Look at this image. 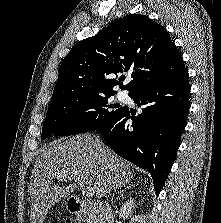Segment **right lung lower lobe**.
<instances>
[{"label": "right lung lower lobe", "instance_id": "98d812e1", "mask_svg": "<svg viewBox=\"0 0 221 223\" xmlns=\"http://www.w3.org/2000/svg\"><path fill=\"white\" fill-rule=\"evenodd\" d=\"M189 92L185 69L172 79L129 94L138 106H143L141 114L135 115L124 107L111 121L95 129L114 152L151 174L157 195L171 170L186 127Z\"/></svg>", "mask_w": 221, "mask_h": 223}]
</instances>
